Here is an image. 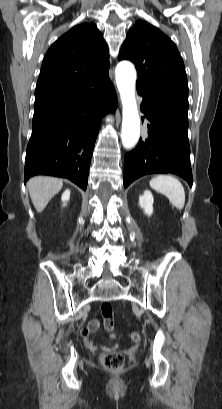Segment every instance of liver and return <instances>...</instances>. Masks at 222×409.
<instances>
[{
  "instance_id": "6515ba94",
  "label": "liver",
  "mask_w": 222,
  "mask_h": 409,
  "mask_svg": "<svg viewBox=\"0 0 222 409\" xmlns=\"http://www.w3.org/2000/svg\"><path fill=\"white\" fill-rule=\"evenodd\" d=\"M63 180L49 177L37 176L31 178L27 183L31 201L37 210L42 212L49 201L62 189Z\"/></svg>"
}]
</instances>
